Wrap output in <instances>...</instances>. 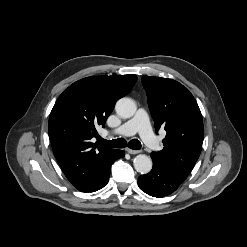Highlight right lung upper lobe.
I'll return each instance as SVG.
<instances>
[{
    "instance_id": "obj_1",
    "label": "right lung upper lobe",
    "mask_w": 247,
    "mask_h": 247,
    "mask_svg": "<svg viewBox=\"0 0 247 247\" xmlns=\"http://www.w3.org/2000/svg\"><path fill=\"white\" fill-rule=\"evenodd\" d=\"M136 80L132 74L87 77L58 97L49 117V138L65 176L78 190L93 186L112 162L117 150L95 146L90 140Z\"/></svg>"
}]
</instances>
